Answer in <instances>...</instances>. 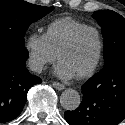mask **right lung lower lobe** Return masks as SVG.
<instances>
[{"label":"right lung lower lobe","mask_w":125,"mask_h":125,"mask_svg":"<svg viewBox=\"0 0 125 125\" xmlns=\"http://www.w3.org/2000/svg\"><path fill=\"white\" fill-rule=\"evenodd\" d=\"M25 46L0 38V123L15 119L23 110L29 89L41 83L26 69Z\"/></svg>","instance_id":"right-lung-lower-lobe-1"}]
</instances>
